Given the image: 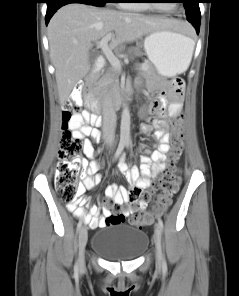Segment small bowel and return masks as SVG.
I'll return each instance as SVG.
<instances>
[{"mask_svg":"<svg viewBox=\"0 0 239 296\" xmlns=\"http://www.w3.org/2000/svg\"><path fill=\"white\" fill-rule=\"evenodd\" d=\"M184 83L180 79H175L173 82V90L169 104H167L166 92H161L158 98L150 105L149 113L158 115L152 123H146L141 126V131L144 134H152L158 140L159 144L149 156H143L140 161V168L129 167L123 161L120 162L118 170L124 175L129 188L118 187L113 184L107 187L106 196L111 198L117 205H122L125 202L133 203L137 200L142 191L151 185L152 179L163 172L166 168L167 153L170 151L169 146V130L171 120L178 117L182 107V92ZM96 116L88 111L82 112L81 116L72 122L74 134L84 138V153L88 158L94 156L93 141L101 138V133L98 129L89 125H79L78 121H89L95 123ZM89 137V138H87ZM85 175L80 191L94 188L101 182V175L98 173L100 164L98 162H83ZM145 203H140L139 210H143ZM80 220L89 224L91 228H102L106 226L105 220L110 215L107 207L102 209V215H99V210L96 205L91 206V213L86 214L80 209H71ZM133 210H124L122 215L127 218Z\"/></svg>","mask_w":239,"mask_h":296,"instance_id":"small-bowel-1","label":"small bowel"}]
</instances>
